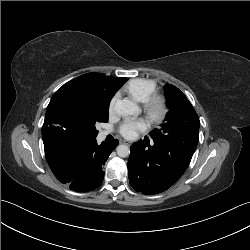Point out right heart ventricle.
Wrapping results in <instances>:
<instances>
[{
    "label": "right heart ventricle",
    "instance_id": "e07e8e85",
    "mask_svg": "<svg viewBox=\"0 0 250 250\" xmlns=\"http://www.w3.org/2000/svg\"><path fill=\"white\" fill-rule=\"evenodd\" d=\"M156 89L155 81L143 78L130 80L124 88L138 102H145L155 93Z\"/></svg>",
    "mask_w": 250,
    "mask_h": 250
}]
</instances>
